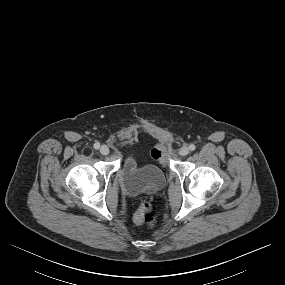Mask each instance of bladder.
<instances>
[{
  "label": "bladder",
  "mask_w": 285,
  "mask_h": 285,
  "mask_svg": "<svg viewBox=\"0 0 285 285\" xmlns=\"http://www.w3.org/2000/svg\"><path fill=\"white\" fill-rule=\"evenodd\" d=\"M119 182L128 194L159 190L166 183L164 172L154 164L139 165L134 154H129L119 170Z\"/></svg>",
  "instance_id": "1"
}]
</instances>
